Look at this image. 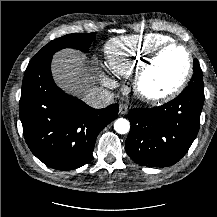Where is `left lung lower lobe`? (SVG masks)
I'll return each mask as SVG.
<instances>
[{
  "mask_svg": "<svg viewBox=\"0 0 217 217\" xmlns=\"http://www.w3.org/2000/svg\"><path fill=\"white\" fill-rule=\"evenodd\" d=\"M204 90L188 85L170 102L153 108H134L125 149L137 164L166 167L188 151L200 126Z\"/></svg>",
  "mask_w": 217,
  "mask_h": 217,
  "instance_id": "1",
  "label": "left lung lower lobe"
}]
</instances>
